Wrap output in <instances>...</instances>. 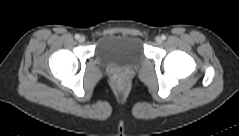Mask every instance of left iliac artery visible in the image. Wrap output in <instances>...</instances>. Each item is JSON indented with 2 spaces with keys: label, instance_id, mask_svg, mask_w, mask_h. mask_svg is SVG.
<instances>
[{
  "label": "left iliac artery",
  "instance_id": "44dca946",
  "mask_svg": "<svg viewBox=\"0 0 239 136\" xmlns=\"http://www.w3.org/2000/svg\"><path fill=\"white\" fill-rule=\"evenodd\" d=\"M161 38H162V40H165V39H166V36H165V35H162Z\"/></svg>",
  "mask_w": 239,
  "mask_h": 136
}]
</instances>
